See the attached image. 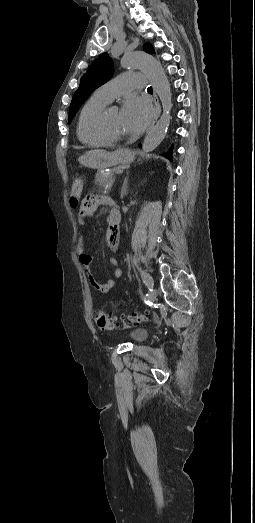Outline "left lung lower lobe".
Here are the masks:
<instances>
[{
    "mask_svg": "<svg viewBox=\"0 0 255 523\" xmlns=\"http://www.w3.org/2000/svg\"><path fill=\"white\" fill-rule=\"evenodd\" d=\"M141 147H144V144H141ZM176 148V140H170V143H168L167 148L159 149V152L166 153L165 157L167 159H170V161H176V153L170 152L175 150Z\"/></svg>",
    "mask_w": 255,
    "mask_h": 523,
    "instance_id": "1",
    "label": "left lung lower lobe"
}]
</instances>
